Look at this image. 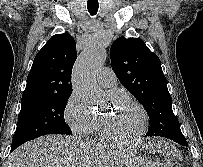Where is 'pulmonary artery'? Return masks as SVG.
Wrapping results in <instances>:
<instances>
[{
    "mask_svg": "<svg viewBox=\"0 0 203 167\" xmlns=\"http://www.w3.org/2000/svg\"><path fill=\"white\" fill-rule=\"evenodd\" d=\"M97 81L101 87L112 89L116 85L117 78L112 69L104 67L98 71Z\"/></svg>",
    "mask_w": 203,
    "mask_h": 167,
    "instance_id": "e3ab8cb5",
    "label": "pulmonary artery"
}]
</instances>
